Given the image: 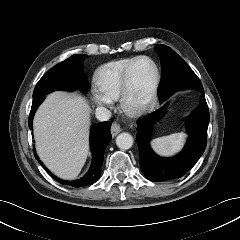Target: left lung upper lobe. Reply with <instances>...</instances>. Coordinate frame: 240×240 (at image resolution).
Masks as SVG:
<instances>
[{
	"label": "left lung upper lobe",
	"mask_w": 240,
	"mask_h": 240,
	"mask_svg": "<svg viewBox=\"0 0 240 240\" xmlns=\"http://www.w3.org/2000/svg\"><path fill=\"white\" fill-rule=\"evenodd\" d=\"M161 59L163 82L160 101H165L175 91L182 89H196L203 92V86L197 75L189 65L170 47L156 46Z\"/></svg>",
	"instance_id": "5c2ea615"
}]
</instances>
